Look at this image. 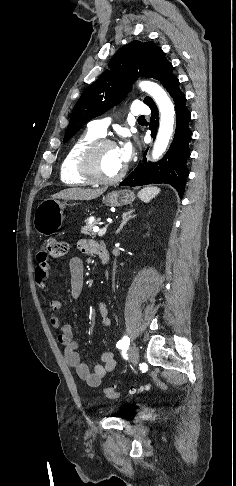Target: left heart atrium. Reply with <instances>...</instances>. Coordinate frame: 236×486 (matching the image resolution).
<instances>
[{
  "label": "left heart atrium",
  "mask_w": 236,
  "mask_h": 486,
  "mask_svg": "<svg viewBox=\"0 0 236 486\" xmlns=\"http://www.w3.org/2000/svg\"><path fill=\"white\" fill-rule=\"evenodd\" d=\"M118 152L121 158V161L125 165L133 154V147L130 142L123 143L120 147H118Z\"/></svg>",
  "instance_id": "obj_1"
}]
</instances>
